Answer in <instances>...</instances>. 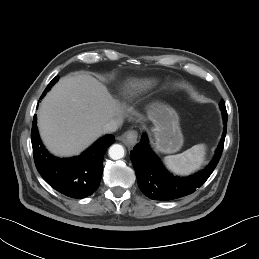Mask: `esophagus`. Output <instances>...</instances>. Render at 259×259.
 <instances>
[{
	"instance_id": "34e87169",
	"label": "esophagus",
	"mask_w": 259,
	"mask_h": 259,
	"mask_svg": "<svg viewBox=\"0 0 259 259\" xmlns=\"http://www.w3.org/2000/svg\"><path fill=\"white\" fill-rule=\"evenodd\" d=\"M138 133L135 130H129L120 136V140L128 147H133L137 143Z\"/></svg>"
}]
</instances>
